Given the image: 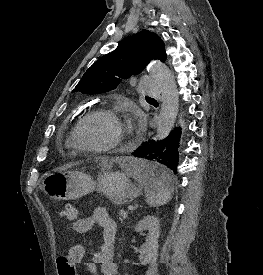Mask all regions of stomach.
<instances>
[{"instance_id": "0dacf381", "label": "stomach", "mask_w": 263, "mask_h": 275, "mask_svg": "<svg viewBox=\"0 0 263 275\" xmlns=\"http://www.w3.org/2000/svg\"><path fill=\"white\" fill-rule=\"evenodd\" d=\"M41 188L55 200L78 199L98 191L116 205L137 197L141 192V188L130 182L128 174L113 171L109 166H105L96 179L82 171L47 173Z\"/></svg>"}]
</instances>
